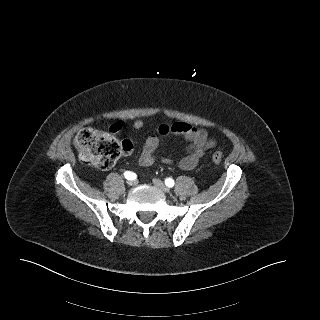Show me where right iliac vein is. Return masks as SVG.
<instances>
[{
  "instance_id": "63e3f726",
  "label": "right iliac vein",
  "mask_w": 320,
  "mask_h": 320,
  "mask_svg": "<svg viewBox=\"0 0 320 320\" xmlns=\"http://www.w3.org/2000/svg\"><path fill=\"white\" fill-rule=\"evenodd\" d=\"M127 184L129 186H134V185H136V180H129V181H127Z\"/></svg>"
}]
</instances>
